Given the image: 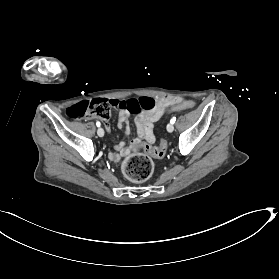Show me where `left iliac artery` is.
Masks as SVG:
<instances>
[{"label":"left iliac artery","instance_id":"obj_1","mask_svg":"<svg viewBox=\"0 0 279 279\" xmlns=\"http://www.w3.org/2000/svg\"><path fill=\"white\" fill-rule=\"evenodd\" d=\"M176 121V117H173L171 120H170V123L174 124Z\"/></svg>","mask_w":279,"mask_h":279}]
</instances>
